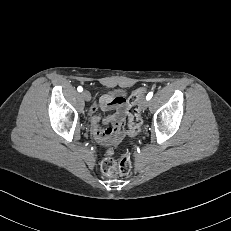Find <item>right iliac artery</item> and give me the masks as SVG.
<instances>
[{"label": "right iliac artery", "mask_w": 231, "mask_h": 231, "mask_svg": "<svg viewBox=\"0 0 231 231\" xmlns=\"http://www.w3.org/2000/svg\"><path fill=\"white\" fill-rule=\"evenodd\" d=\"M77 90H78L79 92H82V91H83V88H82L81 86H79V87L77 88Z\"/></svg>", "instance_id": "82829eb1"}]
</instances>
